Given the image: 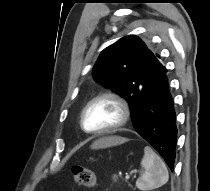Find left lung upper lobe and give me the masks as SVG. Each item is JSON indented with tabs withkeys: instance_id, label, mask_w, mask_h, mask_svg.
Here are the masks:
<instances>
[{
	"instance_id": "left-lung-upper-lobe-1",
	"label": "left lung upper lobe",
	"mask_w": 210,
	"mask_h": 191,
	"mask_svg": "<svg viewBox=\"0 0 210 191\" xmlns=\"http://www.w3.org/2000/svg\"><path fill=\"white\" fill-rule=\"evenodd\" d=\"M163 67L156 52L141 38L129 35L101 52L93 76L128 101L134 121L139 103L156 85V72Z\"/></svg>"
}]
</instances>
